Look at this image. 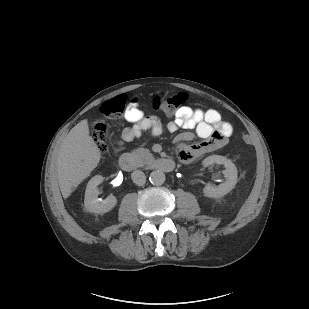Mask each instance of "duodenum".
<instances>
[{
	"mask_svg": "<svg viewBox=\"0 0 309 309\" xmlns=\"http://www.w3.org/2000/svg\"><path fill=\"white\" fill-rule=\"evenodd\" d=\"M119 165L123 170L132 171L137 165L130 154H122L119 158ZM152 169L160 172H171L174 169V162L167 158H158L151 161L149 165Z\"/></svg>",
	"mask_w": 309,
	"mask_h": 309,
	"instance_id": "duodenum-1",
	"label": "duodenum"
}]
</instances>
